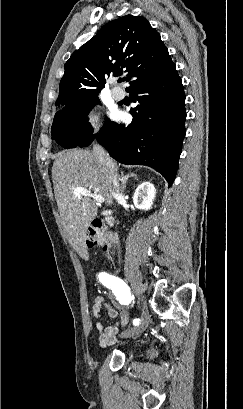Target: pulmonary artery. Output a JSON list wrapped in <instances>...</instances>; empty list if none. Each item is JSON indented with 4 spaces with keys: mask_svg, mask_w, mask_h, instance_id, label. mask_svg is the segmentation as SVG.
<instances>
[{
    "mask_svg": "<svg viewBox=\"0 0 243 409\" xmlns=\"http://www.w3.org/2000/svg\"><path fill=\"white\" fill-rule=\"evenodd\" d=\"M111 94L116 100H121L125 96V92L119 87L112 88Z\"/></svg>",
    "mask_w": 243,
    "mask_h": 409,
    "instance_id": "1",
    "label": "pulmonary artery"
}]
</instances>
